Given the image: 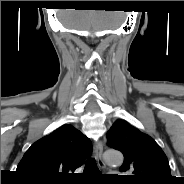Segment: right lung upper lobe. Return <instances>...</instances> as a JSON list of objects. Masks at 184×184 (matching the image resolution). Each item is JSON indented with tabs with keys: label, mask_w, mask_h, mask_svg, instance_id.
<instances>
[{
	"label": "right lung upper lobe",
	"mask_w": 184,
	"mask_h": 184,
	"mask_svg": "<svg viewBox=\"0 0 184 184\" xmlns=\"http://www.w3.org/2000/svg\"><path fill=\"white\" fill-rule=\"evenodd\" d=\"M91 153L89 138L72 125L65 124L33 143L16 171L29 182L68 183L75 169Z\"/></svg>",
	"instance_id": "obj_1"
}]
</instances>
